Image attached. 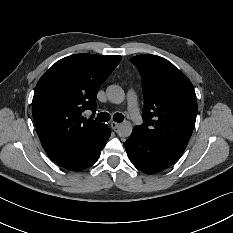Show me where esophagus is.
I'll return each instance as SVG.
<instances>
[{
    "label": "esophagus",
    "mask_w": 233,
    "mask_h": 233,
    "mask_svg": "<svg viewBox=\"0 0 233 233\" xmlns=\"http://www.w3.org/2000/svg\"><path fill=\"white\" fill-rule=\"evenodd\" d=\"M110 125H111V128L113 130H116L119 127V123L118 122H111Z\"/></svg>",
    "instance_id": "esophagus-1"
}]
</instances>
